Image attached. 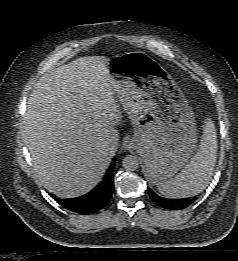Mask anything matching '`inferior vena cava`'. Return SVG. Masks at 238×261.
<instances>
[{"label": "inferior vena cava", "instance_id": "obj_1", "mask_svg": "<svg viewBox=\"0 0 238 261\" xmlns=\"http://www.w3.org/2000/svg\"><path fill=\"white\" fill-rule=\"evenodd\" d=\"M106 150L110 153V154H113L114 153V148H113V146H111V144L110 143H107L106 144Z\"/></svg>", "mask_w": 238, "mask_h": 261}]
</instances>
